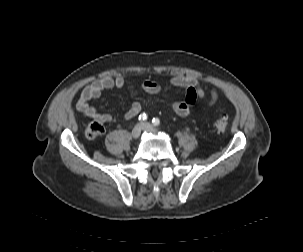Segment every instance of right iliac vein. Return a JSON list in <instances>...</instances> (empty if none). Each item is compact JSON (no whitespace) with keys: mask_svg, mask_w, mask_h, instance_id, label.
<instances>
[{"mask_svg":"<svg viewBox=\"0 0 303 252\" xmlns=\"http://www.w3.org/2000/svg\"><path fill=\"white\" fill-rule=\"evenodd\" d=\"M141 125L137 124L134 126V128L132 129V132H131V137L133 139H138L140 134H141Z\"/></svg>","mask_w":303,"mask_h":252,"instance_id":"obj_1","label":"right iliac vein"}]
</instances>
